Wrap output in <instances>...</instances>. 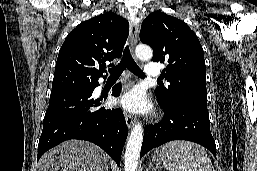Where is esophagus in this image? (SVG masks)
Segmentation results:
<instances>
[{"instance_id":"esophagus-1","label":"esophagus","mask_w":257,"mask_h":171,"mask_svg":"<svg viewBox=\"0 0 257 171\" xmlns=\"http://www.w3.org/2000/svg\"><path fill=\"white\" fill-rule=\"evenodd\" d=\"M138 31H139V18L132 17L130 20V47H131L132 53L134 52V48L137 44ZM125 120H126L127 127L129 129L132 128L135 122L134 117L131 114L126 113Z\"/></svg>"}]
</instances>
